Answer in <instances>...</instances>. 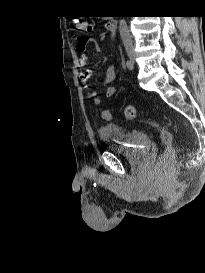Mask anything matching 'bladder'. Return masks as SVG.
<instances>
[{
    "label": "bladder",
    "instance_id": "obj_1",
    "mask_svg": "<svg viewBox=\"0 0 205 273\" xmlns=\"http://www.w3.org/2000/svg\"><path fill=\"white\" fill-rule=\"evenodd\" d=\"M99 136L113 153L132 161L142 158L150 149V138L143 131H124L118 125L107 123L99 128Z\"/></svg>",
    "mask_w": 205,
    "mask_h": 273
}]
</instances>
